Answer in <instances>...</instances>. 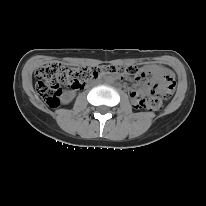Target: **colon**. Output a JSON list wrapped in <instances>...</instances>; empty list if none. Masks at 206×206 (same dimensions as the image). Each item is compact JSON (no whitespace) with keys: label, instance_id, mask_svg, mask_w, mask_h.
Returning a JSON list of instances; mask_svg holds the SVG:
<instances>
[{"label":"colon","instance_id":"1","mask_svg":"<svg viewBox=\"0 0 206 206\" xmlns=\"http://www.w3.org/2000/svg\"><path fill=\"white\" fill-rule=\"evenodd\" d=\"M115 73L127 78H140L144 72L135 67H108L99 69L93 67L69 68L59 63H50L42 66L36 72V89L44 102L55 107L59 103V94L62 86H68L73 89H79L86 82L97 78L101 73ZM175 87L172 76L165 77L160 83L151 86L149 95H139L135 98L136 106L150 110H159L162 107L163 100L171 96Z\"/></svg>","mask_w":206,"mask_h":206}]
</instances>
